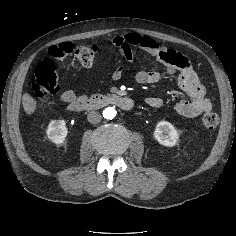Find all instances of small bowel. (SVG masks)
Segmentation results:
<instances>
[{
    "mask_svg": "<svg viewBox=\"0 0 236 236\" xmlns=\"http://www.w3.org/2000/svg\"><path fill=\"white\" fill-rule=\"evenodd\" d=\"M112 45L127 62H133V48H141L153 55L159 63L166 66L168 74L176 75L178 87L190 97V99L182 100L175 105V110L179 115L194 118L211 110L212 104L206 97L203 85L188 58L180 52L159 45L151 37L136 33L116 36L112 40ZM123 70L124 67L119 66L114 71L112 79L119 80L122 77ZM160 78L161 75L158 71L140 70L135 75V80L139 84H154ZM84 98L85 96L78 95L73 90H66L60 94L59 101L66 106L67 110L75 111L76 105ZM146 103L150 107L158 108L162 106L163 101L159 97L151 96L146 99Z\"/></svg>",
    "mask_w": 236,
    "mask_h": 236,
    "instance_id": "1",
    "label": "small bowel"
}]
</instances>
